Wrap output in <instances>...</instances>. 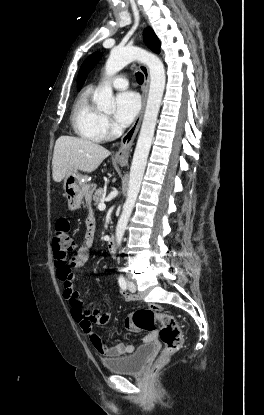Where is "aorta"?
<instances>
[{"instance_id": "762f6f07", "label": "aorta", "mask_w": 264, "mask_h": 415, "mask_svg": "<svg viewBox=\"0 0 264 415\" xmlns=\"http://www.w3.org/2000/svg\"><path fill=\"white\" fill-rule=\"evenodd\" d=\"M132 61H140L148 66L150 73V88L145 114L130 168L127 198L116 227V243L118 247L121 245L128 221L140 191L166 81L165 69L162 61L156 55L135 46H126L123 48L115 47L111 50L105 65L106 77L109 78L115 75ZM94 100L99 110L104 112H112L114 110L115 103L113 91L108 82H105V84L95 92Z\"/></svg>"}]
</instances>
